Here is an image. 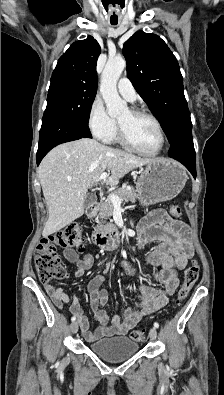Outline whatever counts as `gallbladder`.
Here are the masks:
<instances>
[{
  "label": "gallbladder",
  "mask_w": 224,
  "mask_h": 395,
  "mask_svg": "<svg viewBox=\"0 0 224 395\" xmlns=\"http://www.w3.org/2000/svg\"><path fill=\"white\" fill-rule=\"evenodd\" d=\"M95 196L93 194H88L84 200V208H88L92 203L95 202Z\"/></svg>",
  "instance_id": "bac80fb5"
}]
</instances>
